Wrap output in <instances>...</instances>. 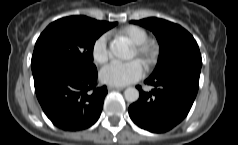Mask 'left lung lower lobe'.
Segmentation results:
<instances>
[{
	"instance_id": "1",
	"label": "left lung lower lobe",
	"mask_w": 238,
	"mask_h": 145,
	"mask_svg": "<svg viewBox=\"0 0 238 145\" xmlns=\"http://www.w3.org/2000/svg\"><path fill=\"white\" fill-rule=\"evenodd\" d=\"M200 67H187L157 76L145 83L154 86L130 105L129 115L139 127L154 133L171 130L189 113L199 87Z\"/></svg>"
}]
</instances>
